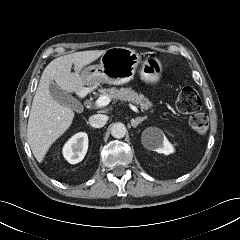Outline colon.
I'll return each instance as SVG.
<instances>
[{"label":"colon","mask_w":240,"mask_h":240,"mask_svg":"<svg viewBox=\"0 0 240 240\" xmlns=\"http://www.w3.org/2000/svg\"><path fill=\"white\" fill-rule=\"evenodd\" d=\"M176 107L179 112L189 114V124L198 134L206 133L208 118L201 112L202 100L199 93L192 87H183L179 90Z\"/></svg>","instance_id":"obj_1"}]
</instances>
